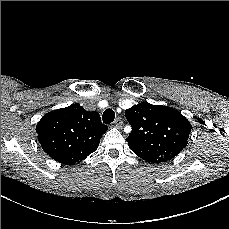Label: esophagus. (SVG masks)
Wrapping results in <instances>:
<instances>
[{
    "instance_id": "1",
    "label": "esophagus",
    "mask_w": 229,
    "mask_h": 229,
    "mask_svg": "<svg viewBox=\"0 0 229 229\" xmlns=\"http://www.w3.org/2000/svg\"><path fill=\"white\" fill-rule=\"evenodd\" d=\"M113 124H114V126H115L116 128H122V126H123V120H122V118H121V117H117V118L114 120Z\"/></svg>"
}]
</instances>
